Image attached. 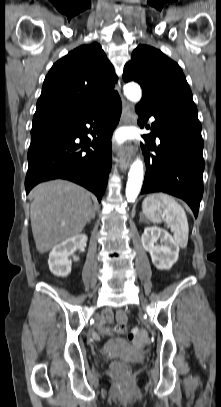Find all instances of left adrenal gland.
Masks as SVG:
<instances>
[{"instance_id": "1", "label": "left adrenal gland", "mask_w": 221, "mask_h": 407, "mask_svg": "<svg viewBox=\"0 0 221 407\" xmlns=\"http://www.w3.org/2000/svg\"><path fill=\"white\" fill-rule=\"evenodd\" d=\"M140 221H145V222H147V220L143 217V214H142V213H140Z\"/></svg>"}]
</instances>
